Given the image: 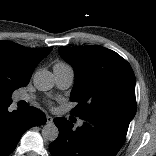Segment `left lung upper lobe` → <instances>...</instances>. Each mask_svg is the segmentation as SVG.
<instances>
[{
    "mask_svg": "<svg viewBox=\"0 0 156 156\" xmlns=\"http://www.w3.org/2000/svg\"><path fill=\"white\" fill-rule=\"evenodd\" d=\"M75 73L71 113L81 119L112 117L127 124L136 113L135 75L116 52L99 45L59 47Z\"/></svg>",
    "mask_w": 156,
    "mask_h": 156,
    "instance_id": "obj_1",
    "label": "left lung upper lobe"
}]
</instances>
